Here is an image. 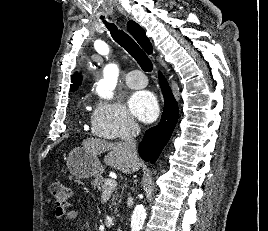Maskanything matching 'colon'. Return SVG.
<instances>
[{
    "instance_id": "obj_1",
    "label": "colon",
    "mask_w": 268,
    "mask_h": 231,
    "mask_svg": "<svg viewBox=\"0 0 268 231\" xmlns=\"http://www.w3.org/2000/svg\"><path fill=\"white\" fill-rule=\"evenodd\" d=\"M50 192L52 194L55 204L59 207H66L70 198V190L61 183L55 182L50 186Z\"/></svg>"
}]
</instances>
